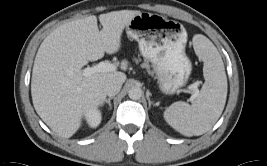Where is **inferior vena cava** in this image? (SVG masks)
Here are the masks:
<instances>
[{
	"instance_id": "inferior-vena-cava-1",
	"label": "inferior vena cava",
	"mask_w": 267,
	"mask_h": 166,
	"mask_svg": "<svg viewBox=\"0 0 267 166\" xmlns=\"http://www.w3.org/2000/svg\"><path fill=\"white\" fill-rule=\"evenodd\" d=\"M122 82L116 79L107 80L104 84V93L108 96H114L119 93Z\"/></svg>"
}]
</instances>
